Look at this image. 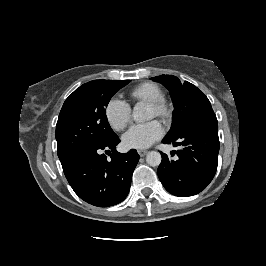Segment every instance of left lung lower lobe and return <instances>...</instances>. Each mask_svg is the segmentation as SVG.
Listing matches in <instances>:
<instances>
[{"label": "left lung lower lobe", "mask_w": 266, "mask_h": 266, "mask_svg": "<svg viewBox=\"0 0 266 266\" xmlns=\"http://www.w3.org/2000/svg\"><path fill=\"white\" fill-rule=\"evenodd\" d=\"M164 144L172 143L181 149L175 160L161 153L162 162L158 177L165 189L176 196L187 197L198 194L212 181L218 165L219 138L215 114L208 119L189 126L174 138H165Z\"/></svg>", "instance_id": "obj_1"}]
</instances>
